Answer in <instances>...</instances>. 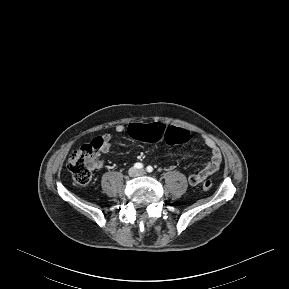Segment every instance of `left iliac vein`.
I'll return each instance as SVG.
<instances>
[{"label":"left iliac vein","mask_w":289,"mask_h":289,"mask_svg":"<svg viewBox=\"0 0 289 289\" xmlns=\"http://www.w3.org/2000/svg\"><path fill=\"white\" fill-rule=\"evenodd\" d=\"M138 173H139L140 175H143V174H145V171H144V170H140V171H138Z\"/></svg>","instance_id":"4c4485c4"}]
</instances>
